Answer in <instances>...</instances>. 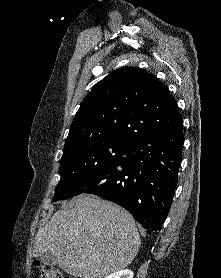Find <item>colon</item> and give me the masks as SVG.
Segmentation results:
<instances>
[{
    "label": "colon",
    "instance_id": "colon-1",
    "mask_svg": "<svg viewBox=\"0 0 221 278\" xmlns=\"http://www.w3.org/2000/svg\"><path fill=\"white\" fill-rule=\"evenodd\" d=\"M35 266L39 271L40 278H64L62 272L52 266L35 262Z\"/></svg>",
    "mask_w": 221,
    "mask_h": 278
}]
</instances>
